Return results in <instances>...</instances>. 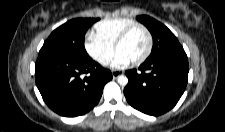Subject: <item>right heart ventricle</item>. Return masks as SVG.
<instances>
[{"label":"right heart ventricle","instance_id":"1","mask_svg":"<svg viewBox=\"0 0 225 132\" xmlns=\"http://www.w3.org/2000/svg\"><path fill=\"white\" fill-rule=\"evenodd\" d=\"M137 24L129 18L103 20L95 24L94 35L102 42L114 46L118 36L128 27Z\"/></svg>","mask_w":225,"mask_h":132}]
</instances>
